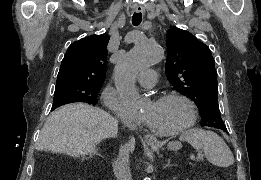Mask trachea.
<instances>
[{"label": "trachea", "mask_w": 261, "mask_h": 180, "mask_svg": "<svg viewBox=\"0 0 261 180\" xmlns=\"http://www.w3.org/2000/svg\"><path fill=\"white\" fill-rule=\"evenodd\" d=\"M142 21V14L141 13H134L132 17L133 25H140Z\"/></svg>", "instance_id": "trachea-1"}]
</instances>
